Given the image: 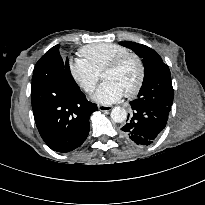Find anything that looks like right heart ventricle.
I'll return each instance as SVG.
<instances>
[{
    "label": "right heart ventricle",
    "instance_id": "1",
    "mask_svg": "<svg viewBox=\"0 0 205 205\" xmlns=\"http://www.w3.org/2000/svg\"><path fill=\"white\" fill-rule=\"evenodd\" d=\"M80 54L97 73L113 59L123 54L130 53L129 49L117 43H94L85 45L80 49Z\"/></svg>",
    "mask_w": 205,
    "mask_h": 205
}]
</instances>
